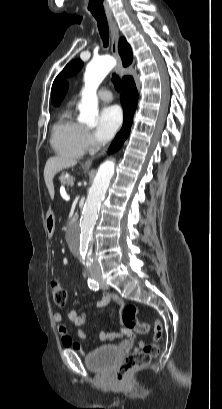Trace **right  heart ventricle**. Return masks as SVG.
<instances>
[{
	"mask_svg": "<svg viewBox=\"0 0 222 409\" xmlns=\"http://www.w3.org/2000/svg\"><path fill=\"white\" fill-rule=\"evenodd\" d=\"M83 130L72 109L63 110L52 128L51 143L55 151L67 158H80L86 151Z\"/></svg>",
	"mask_w": 222,
	"mask_h": 409,
	"instance_id": "e07e8e85",
	"label": "right heart ventricle"
}]
</instances>
